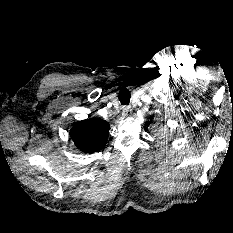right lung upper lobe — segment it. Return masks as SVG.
Returning <instances> with one entry per match:
<instances>
[{"label": "right lung upper lobe", "mask_w": 233, "mask_h": 233, "mask_svg": "<svg viewBox=\"0 0 233 233\" xmlns=\"http://www.w3.org/2000/svg\"><path fill=\"white\" fill-rule=\"evenodd\" d=\"M110 125L107 121L90 118L77 122L70 131L76 147L84 153L101 150L109 136Z\"/></svg>", "instance_id": "1"}]
</instances>
